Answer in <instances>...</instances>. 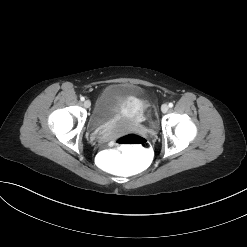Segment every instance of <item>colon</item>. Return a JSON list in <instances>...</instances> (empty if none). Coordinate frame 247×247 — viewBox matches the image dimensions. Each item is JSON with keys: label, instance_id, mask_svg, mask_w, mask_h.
Wrapping results in <instances>:
<instances>
[{"label": "colon", "instance_id": "obj_1", "mask_svg": "<svg viewBox=\"0 0 247 247\" xmlns=\"http://www.w3.org/2000/svg\"><path fill=\"white\" fill-rule=\"evenodd\" d=\"M143 134L150 138L153 136L156 122L149 118L146 120ZM155 149L141 135L136 133L125 134L115 140L114 149H103L97 155V166L105 173H117L127 176H136L144 172L155 160Z\"/></svg>", "mask_w": 247, "mask_h": 247}]
</instances>
